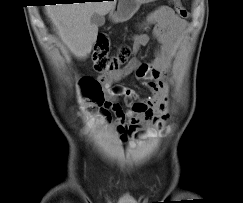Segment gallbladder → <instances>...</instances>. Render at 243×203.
I'll return each mask as SVG.
<instances>
[{
    "label": "gallbladder",
    "mask_w": 243,
    "mask_h": 203,
    "mask_svg": "<svg viewBox=\"0 0 243 203\" xmlns=\"http://www.w3.org/2000/svg\"><path fill=\"white\" fill-rule=\"evenodd\" d=\"M91 23L97 27L99 26H103L104 23H105V18L104 16L100 15V14H97V13H94L92 16H91Z\"/></svg>",
    "instance_id": "1"
}]
</instances>
